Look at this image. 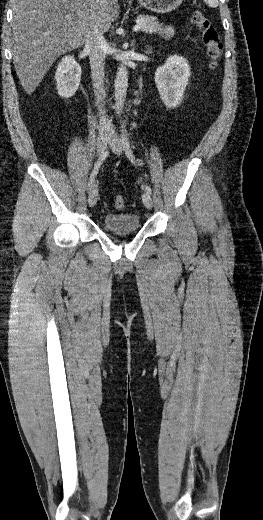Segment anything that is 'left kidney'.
Returning a JSON list of instances; mask_svg holds the SVG:
<instances>
[{
	"label": "left kidney",
	"mask_w": 263,
	"mask_h": 520,
	"mask_svg": "<svg viewBox=\"0 0 263 520\" xmlns=\"http://www.w3.org/2000/svg\"><path fill=\"white\" fill-rule=\"evenodd\" d=\"M190 67L183 57L171 56L155 72V84L166 107L176 108L184 98Z\"/></svg>",
	"instance_id": "left-kidney-1"
}]
</instances>
